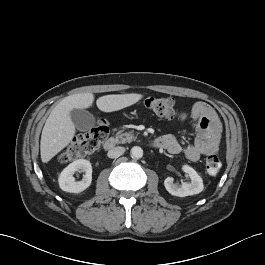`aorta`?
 Here are the masks:
<instances>
[{"label":"aorta","instance_id":"762f6f07","mask_svg":"<svg viewBox=\"0 0 265 265\" xmlns=\"http://www.w3.org/2000/svg\"><path fill=\"white\" fill-rule=\"evenodd\" d=\"M130 154H131L132 158L139 159L143 156V149L139 146H134V147H132Z\"/></svg>","mask_w":265,"mask_h":265}]
</instances>
